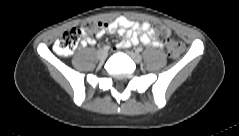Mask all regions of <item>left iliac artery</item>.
I'll list each match as a JSON object with an SVG mask.
<instances>
[{
  "label": "left iliac artery",
  "instance_id": "left-iliac-artery-1",
  "mask_svg": "<svg viewBox=\"0 0 239 136\" xmlns=\"http://www.w3.org/2000/svg\"><path fill=\"white\" fill-rule=\"evenodd\" d=\"M137 51H138V52H141V51H142V48H140V47L137 48Z\"/></svg>",
  "mask_w": 239,
  "mask_h": 136
}]
</instances>
